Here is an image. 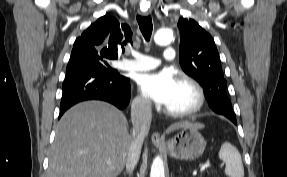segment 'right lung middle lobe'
I'll return each mask as SVG.
<instances>
[{
    "label": "right lung middle lobe",
    "mask_w": 287,
    "mask_h": 177,
    "mask_svg": "<svg viewBox=\"0 0 287 177\" xmlns=\"http://www.w3.org/2000/svg\"><path fill=\"white\" fill-rule=\"evenodd\" d=\"M110 61L111 60H106L95 56L79 58L73 61H69L66 68V73L91 69L111 76H120L117 70H114L109 66Z\"/></svg>",
    "instance_id": "dd1d6c3e"
}]
</instances>
